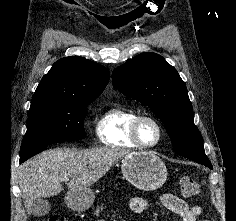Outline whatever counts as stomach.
I'll list each match as a JSON object with an SVG mask.
<instances>
[{
	"label": "stomach",
	"instance_id": "obj_1",
	"mask_svg": "<svg viewBox=\"0 0 236 221\" xmlns=\"http://www.w3.org/2000/svg\"><path fill=\"white\" fill-rule=\"evenodd\" d=\"M123 176L136 188L153 191L160 188L167 179V168L164 162L153 152H132L122 160ZM92 189L87 188L76 192H67L65 200L73 210L84 211L94 202Z\"/></svg>",
	"mask_w": 236,
	"mask_h": 221
}]
</instances>
